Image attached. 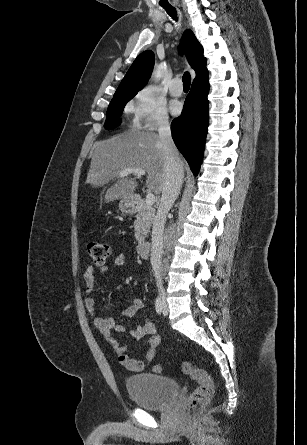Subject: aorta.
<instances>
[{"instance_id": "aorta-1", "label": "aorta", "mask_w": 307, "mask_h": 445, "mask_svg": "<svg viewBox=\"0 0 307 445\" xmlns=\"http://www.w3.org/2000/svg\"><path fill=\"white\" fill-rule=\"evenodd\" d=\"M166 68H167L166 62H160V64H158V68L154 72V78H155L156 82H158V80H160V78H161L164 70H166Z\"/></svg>"}]
</instances>
